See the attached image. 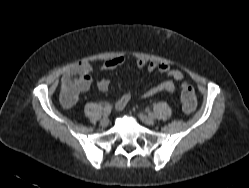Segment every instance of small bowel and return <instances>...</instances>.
I'll return each instance as SVG.
<instances>
[{
	"instance_id": "obj_1",
	"label": "small bowel",
	"mask_w": 249,
	"mask_h": 188,
	"mask_svg": "<svg viewBox=\"0 0 249 188\" xmlns=\"http://www.w3.org/2000/svg\"><path fill=\"white\" fill-rule=\"evenodd\" d=\"M123 64V57H115L104 61L101 64L100 69L103 71L113 70L121 67ZM136 65L139 68H143L146 66L149 72L158 71L166 77L175 81L181 82L184 80V74L182 73V71L173 69L166 63L153 61L147 64L144 59H137ZM91 70L92 68L90 64L81 63L64 74V76L62 77V104L64 107H72L76 103L79 94L90 87L92 83V78L90 75ZM170 79L161 82L155 87L149 88L143 93V96L151 97L162 91L173 94L175 92V84ZM96 87L99 91L105 92L109 88V81L107 79H99L96 82ZM130 100L131 93L127 92L123 94L115 102V108L117 110L124 109L129 104Z\"/></svg>"
}]
</instances>
